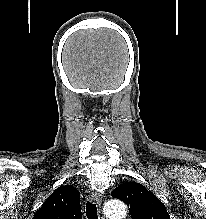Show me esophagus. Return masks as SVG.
Here are the masks:
<instances>
[{"label": "esophagus", "mask_w": 206, "mask_h": 219, "mask_svg": "<svg viewBox=\"0 0 206 219\" xmlns=\"http://www.w3.org/2000/svg\"><path fill=\"white\" fill-rule=\"evenodd\" d=\"M89 198L92 202L98 204L99 206L102 203V195L98 192H95V191L91 192L89 195Z\"/></svg>", "instance_id": "34e87169"}]
</instances>
